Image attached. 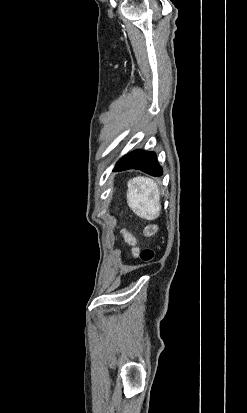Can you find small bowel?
Wrapping results in <instances>:
<instances>
[{
	"label": "small bowel",
	"mask_w": 247,
	"mask_h": 413,
	"mask_svg": "<svg viewBox=\"0 0 247 413\" xmlns=\"http://www.w3.org/2000/svg\"><path fill=\"white\" fill-rule=\"evenodd\" d=\"M122 232H123V235H124L125 240L127 241V236H128V235H131V234L128 233L126 230H123ZM153 232H154V228H153V227H148V228L146 229V231H145L146 235H148V236L152 235ZM131 236H132V235H131ZM135 240H136V239H135ZM127 243H128V242H127ZM135 245H136V243H135ZM135 245H134V246H135Z\"/></svg>",
	"instance_id": "small-bowel-1"
}]
</instances>
